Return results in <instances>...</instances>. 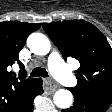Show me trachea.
Returning a JSON list of instances; mask_svg holds the SVG:
<instances>
[{
  "instance_id": "3493384b",
  "label": "trachea",
  "mask_w": 112,
  "mask_h": 112,
  "mask_svg": "<svg viewBox=\"0 0 112 112\" xmlns=\"http://www.w3.org/2000/svg\"><path fill=\"white\" fill-rule=\"evenodd\" d=\"M48 77V72L46 71L45 68L42 67H36L33 69L29 77Z\"/></svg>"
}]
</instances>
